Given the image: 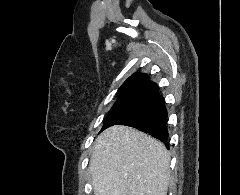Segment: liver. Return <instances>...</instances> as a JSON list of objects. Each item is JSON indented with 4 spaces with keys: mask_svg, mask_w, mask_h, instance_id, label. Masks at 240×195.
<instances>
[{
    "mask_svg": "<svg viewBox=\"0 0 240 195\" xmlns=\"http://www.w3.org/2000/svg\"><path fill=\"white\" fill-rule=\"evenodd\" d=\"M94 143V195H167L170 155L164 143L127 125L108 127Z\"/></svg>",
    "mask_w": 240,
    "mask_h": 195,
    "instance_id": "liver-1",
    "label": "liver"
}]
</instances>
